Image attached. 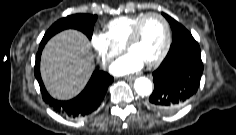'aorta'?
<instances>
[{"instance_id": "1", "label": "aorta", "mask_w": 236, "mask_h": 135, "mask_svg": "<svg viewBox=\"0 0 236 135\" xmlns=\"http://www.w3.org/2000/svg\"><path fill=\"white\" fill-rule=\"evenodd\" d=\"M135 91L140 96H149L152 93V83L147 77H139L134 83Z\"/></svg>"}]
</instances>
